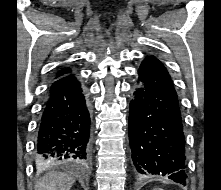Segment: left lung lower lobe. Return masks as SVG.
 <instances>
[{"mask_svg": "<svg viewBox=\"0 0 221 190\" xmlns=\"http://www.w3.org/2000/svg\"><path fill=\"white\" fill-rule=\"evenodd\" d=\"M129 141L136 172L186 184L185 138L173 82L154 56L144 59L129 106Z\"/></svg>", "mask_w": 221, "mask_h": 190, "instance_id": "obj_1", "label": "left lung lower lobe"}]
</instances>
